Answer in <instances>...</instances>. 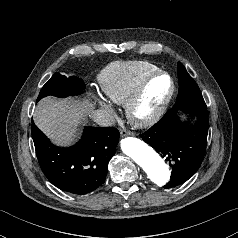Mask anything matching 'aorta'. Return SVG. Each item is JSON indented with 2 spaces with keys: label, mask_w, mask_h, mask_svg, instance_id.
<instances>
[{
  "label": "aorta",
  "mask_w": 238,
  "mask_h": 238,
  "mask_svg": "<svg viewBox=\"0 0 238 238\" xmlns=\"http://www.w3.org/2000/svg\"><path fill=\"white\" fill-rule=\"evenodd\" d=\"M122 151L132 158L157 185H164L170 178V171L164 160L147 144L134 137L121 140Z\"/></svg>",
  "instance_id": "aorta-1"
}]
</instances>
